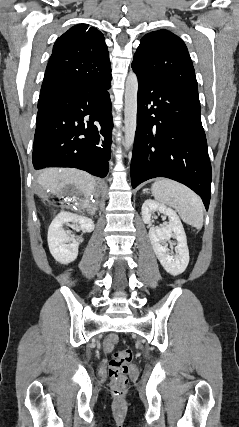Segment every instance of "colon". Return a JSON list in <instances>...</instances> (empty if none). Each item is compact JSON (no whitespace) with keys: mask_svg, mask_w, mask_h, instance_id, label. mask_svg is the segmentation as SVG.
Instances as JSON below:
<instances>
[{"mask_svg":"<svg viewBox=\"0 0 239 427\" xmlns=\"http://www.w3.org/2000/svg\"><path fill=\"white\" fill-rule=\"evenodd\" d=\"M133 352L131 349H124L113 354L109 362V376L111 385L116 395L125 393L128 384V374L132 362Z\"/></svg>","mask_w":239,"mask_h":427,"instance_id":"colon-1","label":"colon"}]
</instances>
